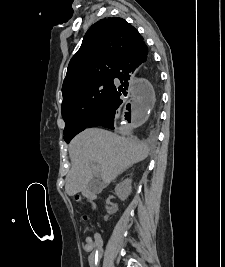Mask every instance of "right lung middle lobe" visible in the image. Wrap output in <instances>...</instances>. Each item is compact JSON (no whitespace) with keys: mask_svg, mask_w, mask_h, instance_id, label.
Segmentation results:
<instances>
[{"mask_svg":"<svg viewBox=\"0 0 225 267\" xmlns=\"http://www.w3.org/2000/svg\"><path fill=\"white\" fill-rule=\"evenodd\" d=\"M114 75L89 81L63 95L62 116L67 143L86 129L109 100L115 85Z\"/></svg>","mask_w":225,"mask_h":267,"instance_id":"dd1d6c3e","label":"right lung middle lobe"}]
</instances>
